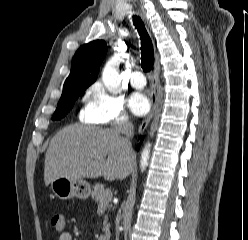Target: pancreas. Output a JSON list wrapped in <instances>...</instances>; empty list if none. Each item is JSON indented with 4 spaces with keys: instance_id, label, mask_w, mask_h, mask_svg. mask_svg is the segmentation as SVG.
<instances>
[{
    "instance_id": "pancreas-1",
    "label": "pancreas",
    "mask_w": 248,
    "mask_h": 240,
    "mask_svg": "<svg viewBox=\"0 0 248 240\" xmlns=\"http://www.w3.org/2000/svg\"><path fill=\"white\" fill-rule=\"evenodd\" d=\"M92 199H94L99 205L103 204V207H106L111 200L112 195L108 194L107 191L104 189V185L102 184H95L93 186V191L91 193ZM110 224L107 223V219H105V226L103 228L104 233L106 236L110 235L109 232Z\"/></svg>"
}]
</instances>
